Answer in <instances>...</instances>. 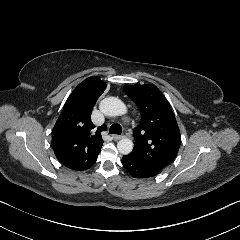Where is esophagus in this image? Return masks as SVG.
I'll return each instance as SVG.
<instances>
[{"instance_id":"obj_1","label":"esophagus","mask_w":240,"mask_h":240,"mask_svg":"<svg viewBox=\"0 0 240 240\" xmlns=\"http://www.w3.org/2000/svg\"><path fill=\"white\" fill-rule=\"evenodd\" d=\"M125 136L124 135H113V139L115 140V141H118V140H120V139H123Z\"/></svg>"}]
</instances>
